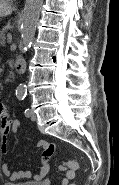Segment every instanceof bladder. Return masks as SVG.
I'll return each instance as SVG.
<instances>
[{"mask_svg": "<svg viewBox=\"0 0 119 185\" xmlns=\"http://www.w3.org/2000/svg\"><path fill=\"white\" fill-rule=\"evenodd\" d=\"M4 185H43V184L34 181H27V182H9L5 183Z\"/></svg>", "mask_w": 119, "mask_h": 185, "instance_id": "1", "label": "bladder"}]
</instances>
